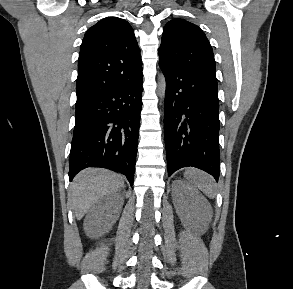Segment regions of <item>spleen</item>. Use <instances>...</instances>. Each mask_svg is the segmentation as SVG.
I'll return each mask as SVG.
<instances>
[{
	"mask_svg": "<svg viewBox=\"0 0 293 289\" xmlns=\"http://www.w3.org/2000/svg\"><path fill=\"white\" fill-rule=\"evenodd\" d=\"M184 177L207 197H215L216 185L214 179L209 174L195 168H188L184 172Z\"/></svg>",
	"mask_w": 293,
	"mask_h": 289,
	"instance_id": "3e777b00",
	"label": "spleen"
}]
</instances>
